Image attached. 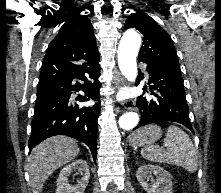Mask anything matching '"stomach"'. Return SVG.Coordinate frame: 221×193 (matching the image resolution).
Returning a JSON list of instances; mask_svg holds the SVG:
<instances>
[{
  "instance_id": "1",
  "label": "stomach",
  "mask_w": 221,
  "mask_h": 193,
  "mask_svg": "<svg viewBox=\"0 0 221 193\" xmlns=\"http://www.w3.org/2000/svg\"><path fill=\"white\" fill-rule=\"evenodd\" d=\"M161 137V128L157 125H149L140 128L129 136V143L133 147L150 145Z\"/></svg>"
}]
</instances>
